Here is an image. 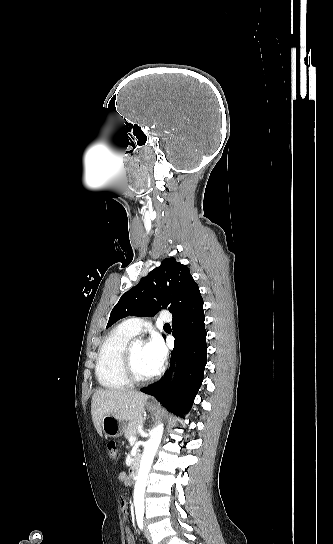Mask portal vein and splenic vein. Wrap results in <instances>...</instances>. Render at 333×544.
Listing matches in <instances>:
<instances>
[{
	"label": "portal vein and splenic vein",
	"mask_w": 333,
	"mask_h": 544,
	"mask_svg": "<svg viewBox=\"0 0 333 544\" xmlns=\"http://www.w3.org/2000/svg\"><path fill=\"white\" fill-rule=\"evenodd\" d=\"M139 429H141V428L139 427L138 430H139ZM135 441H136V437H135V436H131V437L129 438V442H130V443H134Z\"/></svg>",
	"instance_id": "obj_1"
}]
</instances>
